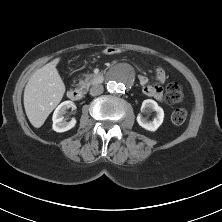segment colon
Listing matches in <instances>:
<instances>
[{"instance_id": "5ec220e1", "label": "colon", "mask_w": 222, "mask_h": 222, "mask_svg": "<svg viewBox=\"0 0 222 222\" xmlns=\"http://www.w3.org/2000/svg\"><path fill=\"white\" fill-rule=\"evenodd\" d=\"M165 99L169 103H177L183 99V92L177 82L171 81L165 88ZM187 111L184 108L175 109L171 114V122L174 125H180L185 122Z\"/></svg>"}]
</instances>
